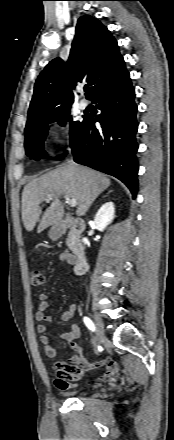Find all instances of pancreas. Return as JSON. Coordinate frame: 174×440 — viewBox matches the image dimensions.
Masks as SVG:
<instances>
[{
  "instance_id": "obj_1",
  "label": "pancreas",
  "mask_w": 174,
  "mask_h": 440,
  "mask_svg": "<svg viewBox=\"0 0 174 440\" xmlns=\"http://www.w3.org/2000/svg\"><path fill=\"white\" fill-rule=\"evenodd\" d=\"M66 244L69 248H73L74 246V238L72 237L71 234L68 235L67 239H66Z\"/></svg>"
}]
</instances>
